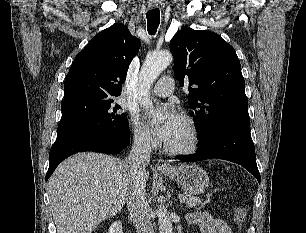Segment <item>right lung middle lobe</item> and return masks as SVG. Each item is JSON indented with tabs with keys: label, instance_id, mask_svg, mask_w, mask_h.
Listing matches in <instances>:
<instances>
[{
	"label": "right lung middle lobe",
	"instance_id": "1",
	"mask_svg": "<svg viewBox=\"0 0 306 233\" xmlns=\"http://www.w3.org/2000/svg\"><path fill=\"white\" fill-rule=\"evenodd\" d=\"M114 98H79L62 102V119L56 141L86 131H105L122 134L129 132L127 115L119 112Z\"/></svg>",
	"mask_w": 306,
	"mask_h": 233
}]
</instances>
